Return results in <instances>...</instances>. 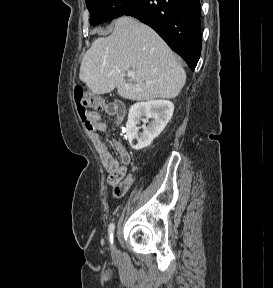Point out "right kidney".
Listing matches in <instances>:
<instances>
[{
  "instance_id": "ca27d5eb",
  "label": "right kidney",
  "mask_w": 273,
  "mask_h": 288,
  "mask_svg": "<svg viewBox=\"0 0 273 288\" xmlns=\"http://www.w3.org/2000/svg\"><path fill=\"white\" fill-rule=\"evenodd\" d=\"M174 111V104L167 100L138 102L130 107L126 123V135L134 150H141L149 146L159 136L170 121ZM143 117V118H142ZM152 119L146 126L148 120ZM140 121L144 123L143 131L139 133ZM136 140V144L133 141Z\"/></svg>"
}]
</instances>
